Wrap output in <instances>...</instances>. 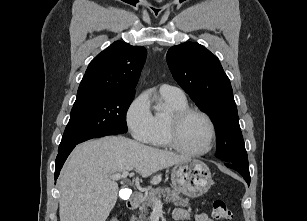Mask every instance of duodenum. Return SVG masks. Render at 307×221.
Listing matches in <instances>:
<instances>
[{"mask_svg": "<svg viewBox=\"0 0 307 221\" xmlns=\"http://www.w3.org/2000/svg\"><path fill=\"white\" fill-rule=\"evenodd\" d=\"M141 200L140 195H134L127 200V207L131 210H134L138 207Z\"/></svg>", "mask_w": 307, "mask_h": 221, "instance_id": "obj_1", "label": "duodenum"}]
</instances>
